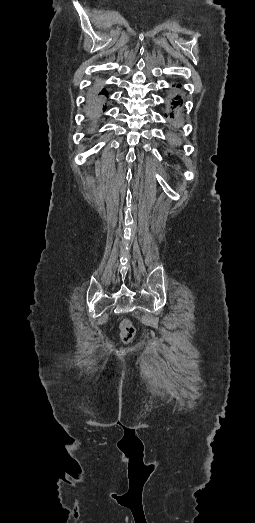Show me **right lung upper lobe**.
Segmentation results:
<instances>
[{
    "instance_id": "obj_1",
    "label": "right lung upper lobe",
    "mask_w": 255,
    "mask_h": 523,
    "mask_svg": "<svg viewBox=\"0 0 255 523\" xmlns=\"http://www.w3.org/2000/svg\"><path fill=\"white\" fill-rule=\"evenodd\" d=\"M102 87L103 85L96 86V92L90 101V108L92 113H100L107 109V104L109 102V92Z\"/></svg>"
}]
</instances>
